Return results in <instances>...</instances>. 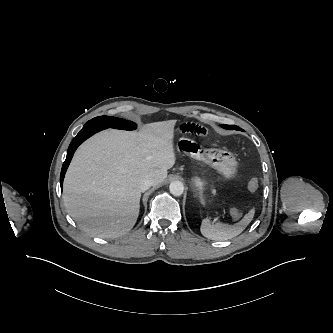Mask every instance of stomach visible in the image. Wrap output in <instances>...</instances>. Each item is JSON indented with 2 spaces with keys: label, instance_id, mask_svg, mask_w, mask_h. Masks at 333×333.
I'll return each mask as SVG.
<instances>
[{
  "label": "stomach",
  "instance_id": "1",
  "mask_svg": "<svg viewBox=\"0 0 333 333\" xmlns=\"http://www.w3.org/2000/svg\"><path fill=\"white\" fill-rule=\"evenodd\" d=\"M177 147L192 158L201 160L216 169L225 177V179L232 178L236 173L237 161L231 152L221 149L205 150L188 138H180ZM192 184L193 189L201 199V202H204L203 190L207 183L199 177H194L192 179Z\"/></svg>",
  "mask_w": 333,
  "mask_h": 333
}]
</instances>
